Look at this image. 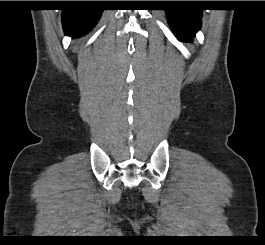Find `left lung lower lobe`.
Instances as JSON below:
<instances>
[{
    "label": "left lung lower lobe",
    "mask_w": 265,
    "mask_h": 245,
    "mask_svg": "<svg viewBox=\"0 0 265 245\" xmlns=\"http://www.w3.org/2000/svg\"><path fill=\"white\" fill-rule=\"evenodd\" d=\"M201 17L202 10L199 9L167 10V18L179 40L195 35L201 27Z\"/></svg>",
    "instance_id": "obj_1"
}]
</instances>
